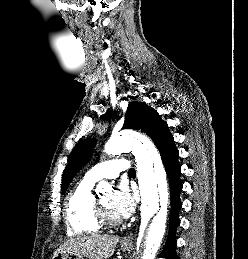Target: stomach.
Instances as JSON below:
<instances>
[{"label":"stomach","mask_w":248,"mask_h":259,"mask_svg":"<svg viewBox=\"0 0 248 259\" xmlns=\"http://www.w3.org/2000/svg\"><path fill=\"white\" fill-rule=\"evenodd\" d=\"M122 250L128 251L130 249V246L122 245ZM53 259H83V257H80L76 255L75 253L70 252H59L58 254H55L53 256Z\"/></svg>","instance_id":"stomach-1"}]
</instances>
